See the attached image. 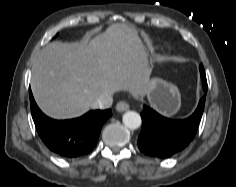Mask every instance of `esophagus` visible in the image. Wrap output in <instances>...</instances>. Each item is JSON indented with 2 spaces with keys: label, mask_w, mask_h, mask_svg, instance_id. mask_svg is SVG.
Returning a JSON list of instances; mask_svg holds the SVG:
<instances>
[{
  "label": "esophagus",
  "mask_w": 236,
  "mask_h": 187,
  "mask_svg": "<svg viewBox=\"0 0 236 187\" xmlns=\"http://www.w3.org/2000/svg\"><path fill=\"white\" fill-rule=\"evenodd\" d=\"M128 109H129V104L124 101H120L116 104V110L118 112H124L127 111Z\"/></svg>",
  "instance_id": "esophagus-1"
}]
</instances>
